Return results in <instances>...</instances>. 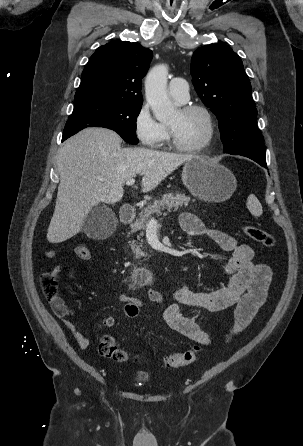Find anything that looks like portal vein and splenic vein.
I'll return each instance as SVG.
<instances>
[{"instance_id": "portal-vein-and-splenic-vein-1", "label": "portal vein and splenic vein", "mask_w": 303, "mask_h": 446, "mask_svg": "<svg viewBox=\"0 0 303 446\" xmlns=\"http://www.w3.org/2000/svg\"><path fill=\"white\" fill-rule=\"evenodd\" d=\"M135 183V179L134 178H131V179H129V180H127L126 181V185H133ZM149 224L150 225H156L157 224V220L156 219H154V218H151L150 220H149Z\"/></svg>"}]
</instances>
